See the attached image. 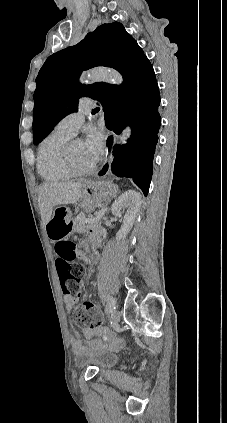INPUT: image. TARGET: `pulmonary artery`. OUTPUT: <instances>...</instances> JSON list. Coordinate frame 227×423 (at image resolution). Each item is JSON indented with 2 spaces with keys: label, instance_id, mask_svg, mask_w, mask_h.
Segmentation results:
<instances>
[{
  "label": "pulmonary artery",
  "instance_id": "1",
  "mask_svg": "<svg viewBox=\"0 0 227 423\" xmlns=\"http://www.w3.org/2000/svg\"><path fill=\"white\" fill-rule=\"evenodd\" d=\"M89 111L80 110L77 113H71L64 117L58 124L60 128L75 136L78 132L79 127L84 123L85 120H89Z\"/></svg>",
  "mask_w": 227,
  "mask_h": 423
}]
</instances>
